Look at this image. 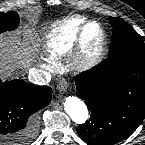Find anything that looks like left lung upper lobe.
<instances>
[{"mask_svg":"<svg viewBox=\"0 0 145 145\" xmlns=\"http://www.w3.org/2000/svg\"><path fill=\"white\" fill-rule=\"evenodd\" d=\"M109 21L113 34L108 58L135 56L145 59V44L141 36L121 18L109 17Z\"/></svg>","mask_w":145,"mask_h":145,"instance_id":"1","label":"left lung upper lobe"}]
</instances>
